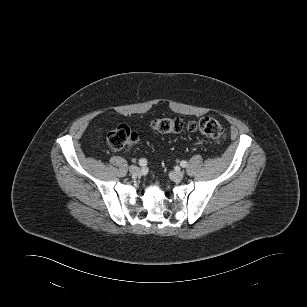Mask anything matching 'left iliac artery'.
<instances>
[{"label":"left iliac artery","mask_w":307,"mask_h":307,"mask_svg":"<svg viewBox=\"0 0 307 307\" xmlns=\"http://www.w3.org/2000/svg\"><path fill=\"white\" fill-rule=\"evenodd\" d=\"M180 165L183 167V168H185V167H187L188 166V164H187V162L186 161H181V163H180Z\"/></svg>","instance_id":"left-iliac-artery-1"}]
</instances>
